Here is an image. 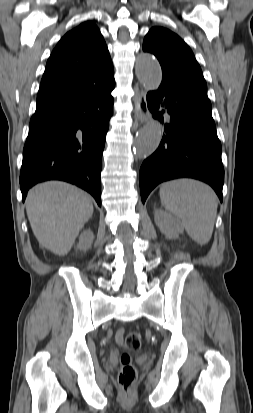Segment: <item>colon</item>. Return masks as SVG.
<instances>
[{
	"label": "colon",
	"mask_w": 253,
	"mask_h": 413,
	"mask_svg": "<svg viewBox=\"0 0 253 413\" xmlns=\"http://www.w3.org/2000/svg\"><path fill=\"white\" fill-rule=\"evenodd\" d=\"M125 347L130 350H136L141 345V337L137 332H129L125 336ZM137 379V370L134 367L131 357L128 353H123L120 358V370L118 382L124 394H131Z\"/></svg>",
	"instance_id": "1"
}]
</instances>
